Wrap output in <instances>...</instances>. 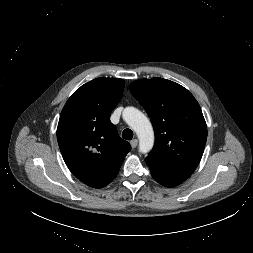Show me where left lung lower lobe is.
Masks as SVG:
<instances>
[{"label":"left lung lower lobe","instance_id":"1","mask_svg":"<svg viewBox=\"0 0 253 253\" xmlns=\"http://www.w3.org/2000/svg\"><path fill=\"white\" fill-rule=\"evenodd\" d=\"M151 170L152 177L161 185L166 187H175L182 182H184L187 178L174 175L171 173H168L164 170H161L153 165L147 164Z\"/></svg>","mask_w":253,"mask_h":253}]
</instances>
